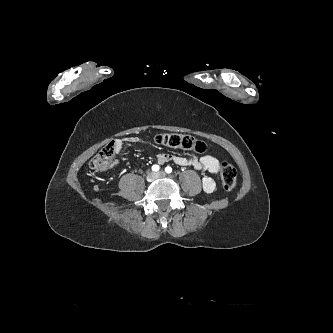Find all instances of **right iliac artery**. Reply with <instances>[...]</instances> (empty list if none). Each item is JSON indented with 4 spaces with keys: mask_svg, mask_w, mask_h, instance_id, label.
<instances>
[{
    "mask_svg": "<svg viewBox=\"0 0 333 333\" xmlns=\"http://www.w3.org/2000/svg\"><path fill=\"white\" fill-rule=\"evenodd\" d=\"M159 169H160V167H159L158 165H153V166H152V170H153L154 172L159 171Z\"/></svg>",
    "mask_w": 333,
    "mask_h": 333,
    "instance_id": "right-iliac-artery-1",
    "label": "right iliac artery"
}]
</instances>
